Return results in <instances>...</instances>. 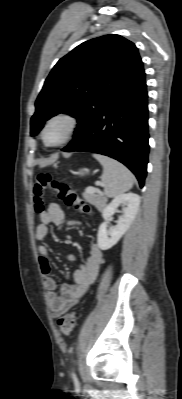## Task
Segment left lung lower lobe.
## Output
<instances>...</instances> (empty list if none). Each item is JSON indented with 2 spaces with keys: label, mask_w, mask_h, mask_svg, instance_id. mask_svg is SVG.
<instances>
[{
  "label": "left lung lower lobe",
  "mask_w": 182,
  "mask_h": 399,
  "mask_svg": "<svg viewBox=\"0 0 182 399\" xmlns=\"http://www.w3.org/2000/svg\"><path fill=\"white\" fill-rule=\"evenodd\" d=\"M144 69L127 81L90 127L62 151H86L126 165L144 186L149 153L148 102Z\"/></svg>",
  "instance_id": "left-lung-lower-lobe-1"
}]
</instances>
